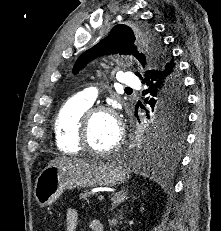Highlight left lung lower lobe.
I'll return each mask as SVG.
<instances>
[{
  "mask_svg": "<svg viewBox=\"0 0 221 231\" xmlns=\"http://www.w3.org/2000/svg\"><path fill=\"white\" fill-rule=\"evenodd\" d=\"M146 82L148 88L144 95L149 94V97L145 99V102L151 107L156 106L155 109L162 114L169 112L174 107L181 94V89L183 91V81L174 57H168L163 65L147 71ZM149 136L148 142L135 153L138 160L155 157L160 150L166 147L177 148L181 143L168 142L162 137L152 136V134ZM175 148L173 149L175 150Z\"/></svg>",
  "mask_w": 221,
  "mask_h": 231,
  "instance_id": "1",
  "label": "left lung lower lobe"
}]
</instances>
